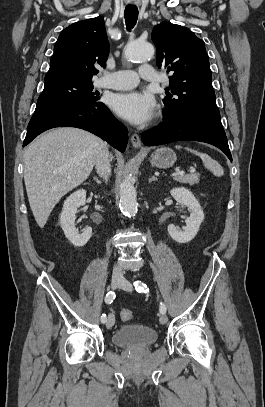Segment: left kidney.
Here are the masks:
<instances>
[{"mask_svg":"<svg viewBox=\"0 0 265 407\" xmlns=\"http://www.w3.org/2000/svg\"><path fill=\"white\" fill-rule=\"evenodd\" d=\"M172 197L180 204L187 206L190 216L186 220V227L179 230L174 225L168 226V233L173 240L178 243L190 242L198 233L199 227L204 219L203 210L198 200L186 188H174L171 190Z\"/></svg>","mask_w":265,"mask_h":407,"instance_id":"left-kidney-1","label":"left kidney"}]
</instances>
